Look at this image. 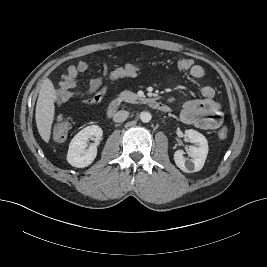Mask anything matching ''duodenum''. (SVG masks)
<instances>
[{"mask_svg": "<svg viewBox=\"0 0 267 267\" xmlns=\"http://www.w3.org/2000/svg\"><path fill=\"white\" fill-rule=\"evenodd\" d=\"M149 105L153 109L160 111V112L166 113L170 111V107L168 105L157 100H150ZM120 106H121V102L119 100H113L112 102H110L106 110L107 116L112 117L119 110Z\"/></svg>", "mask_w": 267, "mask_h": 267, "instance_id": "obj_1", "label": "duodenum"}]
</instances>
